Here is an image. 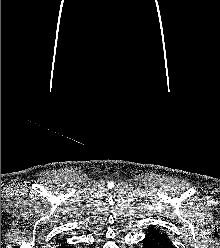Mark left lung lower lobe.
<instances>
[{"label": "left lung lower lobe", "instance_id": "1", "mask_svg": "<svg viewBox=\"0 0 220 248\" xmlns=\"http://www.w3.org/2000/svg\"><path fill=\"white\" fill-rule=\"evenodd\" d=\"M143 248H174L172 242L155 227L148 229V233L143 240Z\"/></svg>", "mask_w": 220, "mask_h": 248}]
</instances>
